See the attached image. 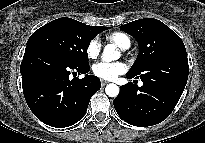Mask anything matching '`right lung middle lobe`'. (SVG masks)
<instances>
[{"mask_svg": "<svg viewBox=\"0 0 205 143\" xmlns=\"http://www.w3.org/2000/svg\"><path fill=\"white\" fill-rule=\"evenodd\" d=\"M97 34L91 26L63 17L36 30L27 46L46 48L72 65L85 67L89 66L87 48Z\"/></svg>", "mask_w": 205, "mask_h": 143, "instance_id": "right-lung-middle-lobe-1", "label": "right lung middle lobe"}]
</instances>
